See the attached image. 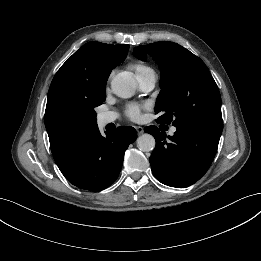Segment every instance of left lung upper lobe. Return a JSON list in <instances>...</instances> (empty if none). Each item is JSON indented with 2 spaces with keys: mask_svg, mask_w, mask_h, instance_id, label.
Listing matches in <instances>:
<instances>
[{
  "mask_svg": "<svg viewBox=\"0 0 261 261\" xmlns=\"http://www.w3.org/2000/svg\"><path fill=\"white\" fill-rule=\"evenodd\" d=\"M138 59L153 57L161 69L158 123L179 128H222L221 97L204 62L177 43L160 41L134 48Z\"/></svg>",
  "mask_w": 261,
  "mask_h": 261,
  "instance_id": "1",
  "label": "left lung upper lobe"
}]
</instances>
